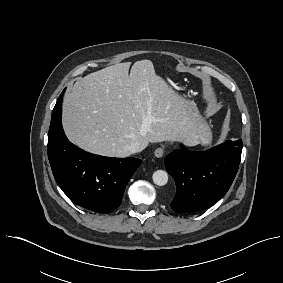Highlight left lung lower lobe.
Wrapping results in <instances>:
<instances>
[{"label": "left lung lower lobe", "instance_id": "obj_1", "mask_svg": "<svg viewBox=\"0 0 283 283\" xmlns=\"http://www.w3.org/2000/svg\"><path fill=\"white\" fill-rule=\"evenodd\" d=\"M242 140H228L210 150H175L165 158V167L176 183L171 202L177 213L210 207L229 190L237 173Z\"/></svg>", "mask_w": 283, "mask_h": 283}]
</instances>
